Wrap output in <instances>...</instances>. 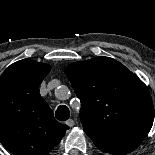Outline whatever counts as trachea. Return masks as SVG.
<instances>
[{"mask_svg":"<svg viewBox=\"0 0 155 155\" xmlns=\"http://www.w3.org/2000/svg\"><path fill=\"white\" fill-rule=\"evenodd\" d=\"M55 116L59 121H66L70 116L68 107L65 105H60L56 110Z\"/></svg>","mask_w":155,"mask_h":155,"instance_id":"trachea-1","label":"trachea"}]
</instances>
